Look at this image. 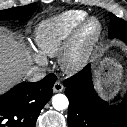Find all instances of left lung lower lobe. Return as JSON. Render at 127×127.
Instances as JSON below:
<instances>
[{"instance_id": "obj_1", "label": "left lung lower lobe", "mask_w": 127, "mask_h": 127, "mask_svg": "<svg viewBox=\"0 0 127 127\" xmlns=\"http://www.w3.org/2000/svg\"><path fill=\"white\" fill-rule=\"evenodd\" d=\"M127 44V35L120 37ZM69 99V127H127V95L118 106H111L96 93L91 65L64 81Z\"/></svg>"}]
</instances>
